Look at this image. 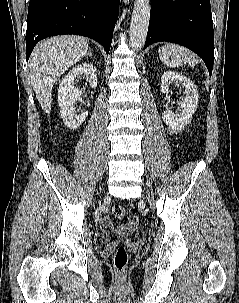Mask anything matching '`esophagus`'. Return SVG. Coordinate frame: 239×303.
I'll use <instances>...</instances> for the list:
<instances>
[{"label":"esophagus","mask_w":239,"mask_h":303,"mask_svg":"<svg viewBox=\"0 0 239 303\" xmlns=\"http://www.w3.org/2000/svg\"><path fill=\"white\" fill-rule=\"evenodd\" d=\"M123 2H124L125 4H128V3H129V0H123Z\"/></svg>","instance_id":"1"}]
</instances>
